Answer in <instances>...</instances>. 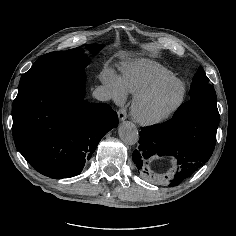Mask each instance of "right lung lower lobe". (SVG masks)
<instances>
[{
    "label": "right lung lower lobe",
    "instance_id": "right-lung-lower-lobe-1",
    "mask_svg": "<svg viewBox=\"0 0 236 236\" xmlns=\"http://www.w3.org/2000/svg\"><path fill=\"white\" fill-rule=\"evenodd\" d=\"M84 97L83 69L18 92L12 105L14 142L41 174L54 179L78 175L101 138L118 126L110 105Z\"/></svg>",
    "mask_w": 236,
    "mask_h": 236
}]
</instances>
